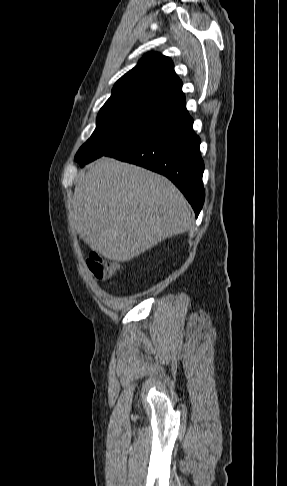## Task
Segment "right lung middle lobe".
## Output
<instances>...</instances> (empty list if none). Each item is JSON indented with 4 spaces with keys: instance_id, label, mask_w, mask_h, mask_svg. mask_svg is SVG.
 Wrapping results in <instances>:
<instances>
[{
    "instance_id": "dd1d6c3e",
    "label": "right lung middle lobe",
    "mask_w": 287,
    "mask_h": 486,
    "mask_svg": "<svg viewBox=\"0 0 287 486\" xmlns=\"http://www.w3.org/2000/svg\"><path fill=\"white\" fill-rule=\"evenodd\" d=\"M171 113L150 105L103 106L95 131L81 146L75 160L82 167L134 140Z\"/></svg>"
}]
</instances>
